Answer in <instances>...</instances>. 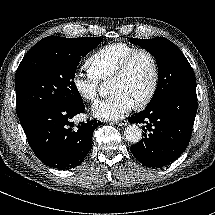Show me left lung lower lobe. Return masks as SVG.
<instances>
[{
  "mask_svg": "<svg viewBox=\"0 0 215 215\" xmlns=\"http://www.w3.org/2000/svg\"><path fill=\"white\" fill-rule=\"evenodd\" d=\"M196 111V86L191 85L167 94L131 116L128 121L143 123L145 131L144 138L131 146L132 154L147 167L173 162L189 144Z\"/></svg>",
  "mask_w": 215,
  "mask_h": 215,
  "instance_id": "obj_1",
  "label": "left lung lower lobe"
}]
</instances>
